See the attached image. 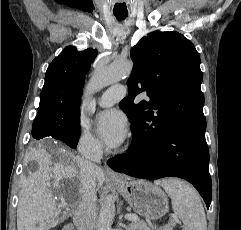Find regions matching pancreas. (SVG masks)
<instances>
[{
    "label": "pancreas",
    "mask_w": 241,
    "mask_h": 230,
    "mask_svg": "<svg viewBox=\"0 0 241 230\" xmlns=\"http://www.w3.org/2000/svg\"><path fill=\"white\" fill-rule=\"evenodd\" d=\"M176 225L175 221H171L169 224L165 225L156 230H173V227ZM129 230H154L150 229V227L144 221H132V223L128 226Z\"/></svg>",
    "instance_id": "pancreas-1"
}]
</instances>
